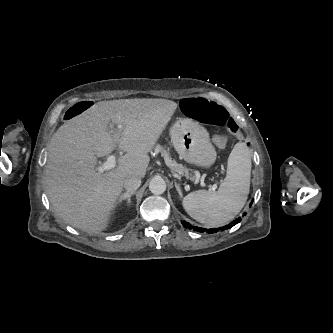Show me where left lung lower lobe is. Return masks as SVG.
<instances>
[{
    "instance_id": "left-lung-lower-lobe-1",
    "label": "left lung lower lobe",
    "mask_w": 333,
    "mask_h": 333,
    "mask_svg": "<svg viewBox=\"0 0 333 333\" xmlns=\"http://www.w3.org/2000/svg\"><path fill=\"white\" fill-rule=\"evenodd\" d=\"M252 202L250 203V206L252 205ZM243 215H246V213H244ZM240 221H241V218H238V219L234 220L233 222H231L230 224H228L226 226H223V227H220V228H217V229L216 228L205 229V228H200V227H193L190 223H188L186 221H182V224L185 228H188L190 230L193 229V230H196V231H199V232H207L209 234H212V233H216L218 231H223L225 229H230L231 227H233L234 225H236Z\"/></svg>"
}]
</instances>
